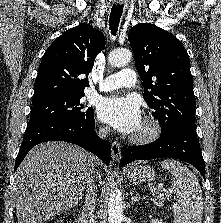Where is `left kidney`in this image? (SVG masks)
<instances>
[{
	"label": "left kidney",
	"instance_id": "obj_1",
	"mask_svg": "<svg viewBox=\"0 0 221 223\" xmlns=\"http://www.w3.org/2000/svg\"><path fill=\"white\" fill-rule=\"evenodd\" d=\"M151 223H165V222H163L162 220H159V219H152Z\"/></svg>",
	"mask_w": 221,
	"mask_h": 223
}]
</instances>
